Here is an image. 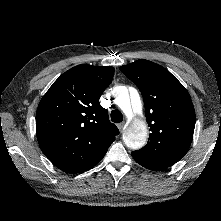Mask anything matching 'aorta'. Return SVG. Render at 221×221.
<instances>
[{
  "mask_svg": "<svg viewBox=\"0 0 221 221\" xmlns=\"http://www.w3.org/2000/svg\"><path fill=\"white\" fill-rule=\"evenodd\" d=\"M115 102L125 113L130 114L133 110L135 113L142 112V102L136 89L128 90L125 86L115 88ZM148 129L145 121L132 122L123 134V140L127 147L136 150L146 144Z\"/></svg>",
  "mask_w": 221,
  "mask_h": 221,
  "instance_id": "obj_1",
  "label": "aorta"
}]
</instances>
